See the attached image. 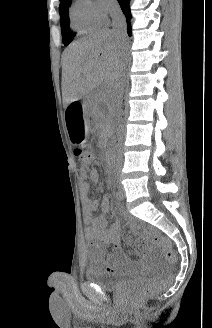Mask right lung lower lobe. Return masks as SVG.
Returning a JSON list of instances; mask_svg holds the SVG:
<instances>
[{"instance_id":"1","label":"right lung lower lobe","mask_w":212,"mask_h":328,"mask_svg":"<svg viewBox=\"0 0 212 328\" xmlns=\"http://www.w3.org/2000/svg\"><path fill=\"white\" fill-rule=\"evenodd\" d=\"M129 1L130 0H118L120 7L126 17L127 25H128V34L131 36V26H130V19H131V12L129 8Z\"/></svg>"}]
</instances>
